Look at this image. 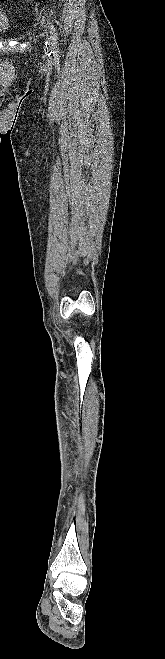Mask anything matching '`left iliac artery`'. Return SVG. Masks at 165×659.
I'll list each match as a JSON object with an SVG mask.
<instances>
[{
  "instance_id": "obj_1",
  "label": "left iliac artery",
  "mask_w": 165,
  "mask_h": 659,
  "mask_svg": "<svg viewBox=\"0 0 165 659\" xmlns=\"http://www.w3.org/2000/svg\"><path fill=\"white\" fill-rule=\"evenodd\" d=\"M50 28H51L52 37H53L54 40H56V38H57L56 28L53 24H51Z\"/></svg>"
}]
</instances>
